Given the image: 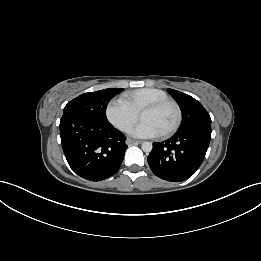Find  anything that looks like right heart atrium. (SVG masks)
<instances>
[{"mask_svg": "<svg viewBox=\"0 0 261 261\" xmlns=\"http://www.w3.org/2000/svg\"><path fill=\"white\" fill-rule=\"evenodd\" d=\"M108 121L118 130L128 132L138 118V112L124 97L113 98L106 107Z\"/></svg>", "mask_w": 261, "mask_h": 261, "instance_id": "right-heart-atrium-1", "label": "right heart atrium"}]
</instances>
